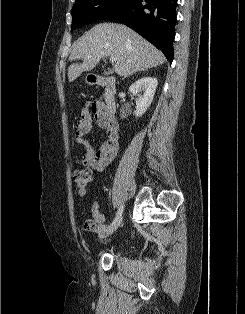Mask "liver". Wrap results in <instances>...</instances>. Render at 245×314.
Segmentation results:
<instances>
[{"label":"liver","mask_w":245,"mask_h":314,"mask_svg":"<svg viewBox=\"0 0 245 314\" xmlns=\"http://www.w3.org/2000/svg\"><path fill=\"white\" fill-rule=\"evenodd\" d=\"M105 56L117 57L115 73L124 77L157 67L166 61L159 49L127 26L100 23L83 35L73 48L69 60L81 59L83 62L69 66V82L77 79L82 72L94 69Z\"/></svg>","instance_id":"obj_1"}]
</instances>
